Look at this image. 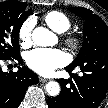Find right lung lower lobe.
<instances>
[{"label": "right lung lower lobe", "mask_w": 108, "mask_h": 108, "mask_svg": "<svg viewBox=\"0 0 108 108\" xmlns=\"http://www.w3.org/2000/svg\"><path fill=\"white\" fill-rule=\"evenodd\" d=\"M3 60L22 63L20 54L10 59L0 58V62ZM38 81L37 74L27 67H19L17 72L9 73L3 72L0 67V108H18L27 88Z\"/></svg>", "instance_id": "98d812e1"}]
</instances>
